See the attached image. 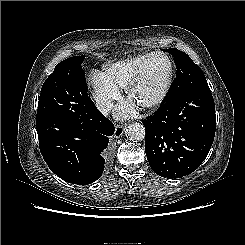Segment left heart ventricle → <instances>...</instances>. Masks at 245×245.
<instances>
[{
  "label": "left heart ventricle",
  "mask_w": 245,
  "mask_h": 245,
  "mask_svg": "<svg viewBox=\"0 0 245 245\" xmlns=\"http://www.w3.org/2000/svg\"><path fill=\"white\" fill-rule=\"evenodd\" d=\"M168 74V62L163 57H153L148 62L144 77L136 88L132 103L140 106L155 99L165 83Z\"/></svg>",
  "instance_id": "1"
}]
</instances>
